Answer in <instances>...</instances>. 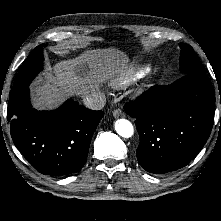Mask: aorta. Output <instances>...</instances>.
I'll list each match as a JSON object with an SVG mask.
<instances>
[{"label":"aorta","mask_w":221,"mask_h":221,"mask_svg":"<svg viewBox=\"0 0 221 221\" xmlns=\"http://www.w3.org/2000/svg\"><path fill=\"white\" fill-rule=\"evenodd\" d=\"M115 130L124 138H130L134 133L133 125L129 120L124 118L115 121Z\"/></svg>","instance_id":"obj_1"}]
</instances>
